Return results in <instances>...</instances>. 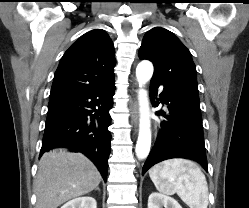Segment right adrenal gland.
<instances>
[{"label":"right adrenal gland","instance_id":"2a0ac1e0","mask_svg":"<svg viewBox=\"0 0 249 208\" xmlns=\"http://www.w3.org/2000/svg\"><path fill=\"white\" fill-rule=\"evenodd\" d=\"M95 190H98L99 192H100V189H99V187H97Z\"/></svg>","mask_w":249,"mask_h":208}]
</instances>
